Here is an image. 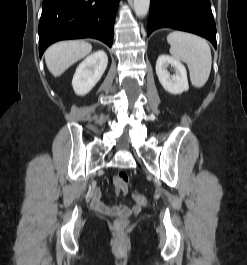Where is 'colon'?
Listing matches in <instances>:
<instances>
[{"label": "colon", "instance_id": "5ec220e1", "mask_svg": "<svg viewBox=\"0 0 247 265\" xmlns=\"http://www.w3.org/2000/svg\"><path fill=\"white\" fill-rule=\"evenodd\" d=\"M129 183V176L125 172H119L115 178V184L120 188L121 191L126 192ZM133 199L140 205V206H147L148 200L147 198L139 193H133ZM127 226L126 218H118L114 222V228L118 231H123Z\"/></svg>", "mask_w": 247, "mask_h": 265}]
</instances>
